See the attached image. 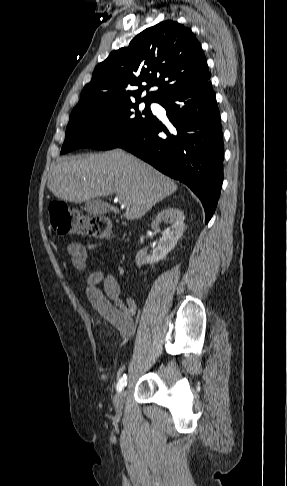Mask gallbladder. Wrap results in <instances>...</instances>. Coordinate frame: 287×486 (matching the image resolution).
<instances>
[{
    "mask_svg": "<svg viewBox=\"0 0 287 486\" xmlns=\"http://www.w3.org/2000/svg\"><path fill=\"white\" fill-rule=\"evenodd\" d=\"M83 209L90 215H104L110 211L109 205L99 199H91L85 202Z\"/></svg>",
    "mask_w": 287,
    "mask_h": 486,
    "instance_id": "bac80fb5",
    "label": "gallbladder"
}]
</instances>
